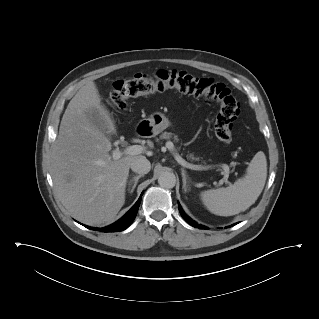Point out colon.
Returning a JSON list of instances; mask_svg holds the SVG:
<instances>
[{"label": "colon", "mask_w": 319, "mask_h": 319, "mask_svg": "<svg viewBox=\"0 0 319 319\" xmlns=\"http://www.w3.org/2000/svg\"><path fill=\"white\" fill-rule=\"evenodd\" d=\"M168 89H176L184 94L202 97L207 102L216 103L219 113L214 122L215 135L220 141H231L232 125L240 113V105L226 85L210 78H199L175 70L158 71L153 75L139 73L130 79L116 80L109 103L115 109L126 110L130 99Z\"/></svg>", "instance_id": "colon-1"}]
</instances>
